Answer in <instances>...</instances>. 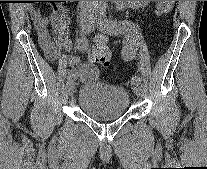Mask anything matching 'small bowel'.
<instances>
[{
	"instance_id": "small-bowel-1",
	"label": "small bowel",
	"mask_w": 207,
	"mask_h": 169,
	"mask_svg": "<svg viewBox=\"0 0 207 169\" xmlns=\"http://www.w3.org/2000/svg\"><path fill=\"white\" fill-rule=\"evenodd\" d=\"M148 2L124 1L125 4L131 7H141ZM30 15L34 22L40 47L45 56L51 61L64 59L71 66L78 64V58L73 54L68 38L70 17L67 14L66 8L61 4L55 6L49 18L42 15L35 8L30 10ZM71 72H74L76 77L82 80H90L97 75L98 70L92 63H83L78 69Z\"/></svg>"
}]
</instances>
